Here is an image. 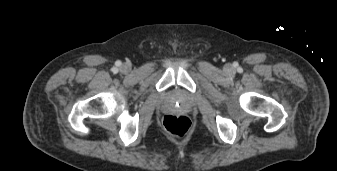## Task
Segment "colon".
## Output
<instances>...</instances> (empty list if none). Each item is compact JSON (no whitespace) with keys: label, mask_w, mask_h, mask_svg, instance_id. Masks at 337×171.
I'll list each match as a JSON object with an SVG mask.
<instances>
[{"label":"colon","mask_w":337,"mask_h":171,"mask_svg":"<svg viewBox=\"0 0 337 171\" xmlns=\"http://www.w3.org/2000/svg\"><path fill=\"white\" fill-rule=\"evenodd\" d=\"M164 128L172 135L182 136L190 128V120L183 115H167L163 119Z\"/></svg>","instance_id":"1"}]
</instances>
